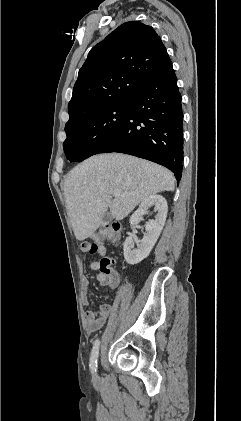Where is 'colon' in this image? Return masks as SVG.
Returning <instances> with one entry per match:
<instances>
[{"mask_svg": "<svg viewBox=\"0 0 241 421\" xmlns=\"http://www.w3.org/2000/svg\"><path fill=\"white\" fill-rule=\"evenodd\" d=\"M121 239V228L119 224L104 225L93 237L94 242H84L81 249L89 254H96L98 246L105 241L118 243ZM114 260L110 257L102 258L100 262V271L107 277H113L112 265Z\"/></svg>", "mask_w": 241, "mask_h": 421, "instance_id": "obj_1", "label": "colon"}]
</instances>
